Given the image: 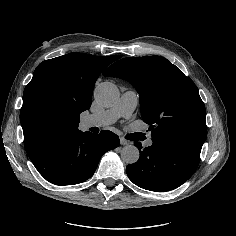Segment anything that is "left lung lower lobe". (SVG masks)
I'll return each mask as SVG.
<instances>
[{"mask_svg":"<svg viewBox=\"0 0 236 236\" xmlns=\"http://www.w3.org/2000/svg\"><path fill=\"white\" fill-rule=\"evenodd\" d=\"M152 141V145L144 149L140 142L134 143L140 158L126 167L128 177L150 191L163 192L179 187L196 171L200 152L163 138H152Z\"/></svg>","mask_w":236,"mask_h":236,"instance_id":"0a47b994","label":"left lung lower lobe"}]
</instances>
